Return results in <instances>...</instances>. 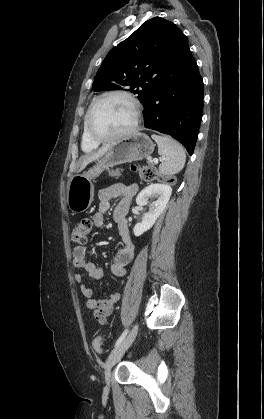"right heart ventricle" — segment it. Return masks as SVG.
Masks as SVG:
<instances>
[{
  "instance_id": "e07e8e85",
  "label": "right heart ventricle",
  "mask_w": 264,
  "mask_h": 419,
  "mask_svg": "<svg viewBox=\"0 0 264 419\" xmlns=\"http://www.w3.org/2000/svg\"><path fill=\"white\" fill-rule=\"evenodd\" d=\"M85 118H86V115L84 117V122H83V132H82V139H81V147H82V150L84 152H91V151L95 150L98 147L99 143H96V142L92 141L89 138V136H88V134L86 132V128H85Z\"/></svg>"
}]
</instances>
